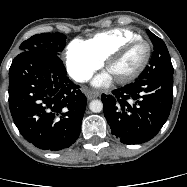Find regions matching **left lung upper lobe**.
Here are the masks:
<instances>
[{"instance_id": "left-lung-upper-lobe-1", "label": "left lung upper lobe", "mask_w": 187, "mask_h": 187, "mask_svg": "<svg viewBox=\"0 0 187 187\" xmlns=\"http://www.w3.org/2000/svg\"><path fill=\"white\" fill-rule=\"evenodd\" d=\"M147 34L153 43L154 51L149 65L139 75L137 80H144L163 75H173V66L165 43L149 30H147Z\"/></svg>"}]
</instances>
